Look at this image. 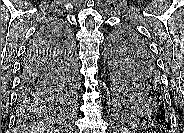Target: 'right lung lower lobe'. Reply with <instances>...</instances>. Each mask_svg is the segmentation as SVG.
I'll list each match as a JSON object with an SVG mask.
<instances>
[{"instance_id": "1", "label": "right lung lower lobe", "mask_w": 184, "mask_h": 133, "mask_svg": "<svg viewBox=\"0 0 184 133\" xmlns=\"http://www.w3.org/2000/svg\"><path fill=\"white\" fill-rule=\"evenodd\" d=\"M71 48V49H70ZM74 50L69 39L54 20L35 34L21 67L18 103L38 104L51 99L65 76L67 51Z\"/></svg>"}]
</instances>
